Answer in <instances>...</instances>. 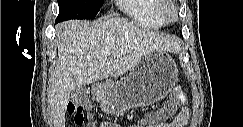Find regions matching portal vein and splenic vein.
<instances>
[{
    "label": "portal vein and splenic vein",
    "instance_id": "obj_1",
    "mask_svg": "<svg viewBox=\"0 0 243 127\" xmlns=\"http://www.w3.org/2000/svg\"><path fill=\"white\" fill-rule=\"evenodd\" d=\"M104 54H105V55H110L111 52H110L109 50H105V51H104Z\"/></svg>",
    "mask_w": 243,
    "mask_h": 127
}]
</instances>
